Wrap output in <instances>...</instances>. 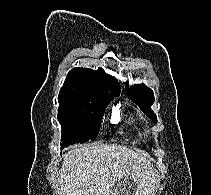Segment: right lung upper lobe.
<instances>
[{"label": "right lung upper lobe", "mask_w": 211, "mask_h": 195, "mask_svg": "<svg viewBox=\"0 0 211 195\" xmlns=\"http://www.w3.org/2000/svg\"><path fill=\"white\" fill-rule=\"evenodd\" d=\"M120 85L114 77L106 75L102 68L72 69L62 86L58 99L79 102L110 103L118 96Z\"/></svg>", "instance_id": "right-lung-upper-lobe-1"}]
</instances>
